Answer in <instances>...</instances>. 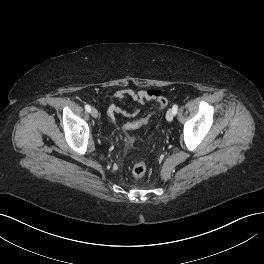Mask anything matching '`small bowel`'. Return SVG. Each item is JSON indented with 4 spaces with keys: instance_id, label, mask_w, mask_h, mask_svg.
Here are the masks:
<instances>
[{
    "instance_id": "small-bowel-1",
    "label": "small bowel",
    "mask_w": 264,
    "mask_h": 264,
    "mask_svg": "<svg viewBox=\"0 0 264 264\" xmlns=\"http://www.w3.org/2000/svg\"><path fill=\"white\" fill-rule=\"evenodd\" d=\"M161 95H162V91L160 89H145V90L135 91L130 88H125L114 92L113 97L118 101H122L124 98L129 97L133 101L143 104L148 101L156 100ZM138 112H139L138 109L127 111L115 104L111 105L108 109V114L111 119H114L115 114H122L127 117H134L138 114Z\"/></svg>"
}]
</instances>
